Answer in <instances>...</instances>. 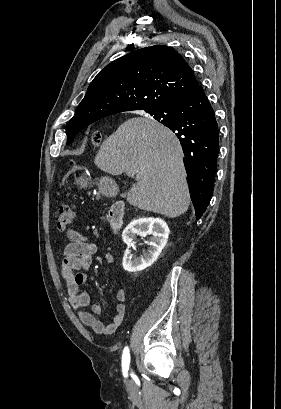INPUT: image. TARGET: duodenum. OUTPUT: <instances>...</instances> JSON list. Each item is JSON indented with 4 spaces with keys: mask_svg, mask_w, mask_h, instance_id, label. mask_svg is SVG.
<instances>
[{
    "mask_svg": "<svg viewBox=\"0 0 281 409\" xmlns=\"http://www.w3.org/2000/svg\"><path fill=\"white\" fill-rule=\"evenodd\" d=\"M125 203L123 201H117L110 207L108 213V222L110 227L119 232L123 227L124 222Z\"/></svg>",
    "mask_w": 281,
    "mask_h": 409,
    "instance_id": "410a0bca",
    "label": "duodenum"
}]
</instances>
